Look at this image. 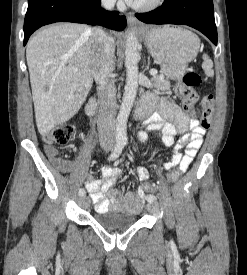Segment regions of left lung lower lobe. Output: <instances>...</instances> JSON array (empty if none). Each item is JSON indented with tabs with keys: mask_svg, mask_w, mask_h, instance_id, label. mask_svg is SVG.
Instances as JSON below:
<instances>
[{
	"mask_svg": "<svg viewBox=\"0 0 247 275\" xmlns=\"http://www.w3.org/2000/svg\"><path fill=\"white\" fill-rule=\"evenodd\" d=\"M136 17L148 24H184L193 27L217 45L212 0H165L157 9Z\"/></svg>",
	"mask_w": 247,
	"mask_h": 275,
	"instance_id": "obj_1",
	"label": "left lung lower lobe"
}]
</instances>
